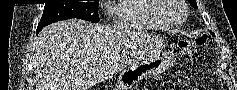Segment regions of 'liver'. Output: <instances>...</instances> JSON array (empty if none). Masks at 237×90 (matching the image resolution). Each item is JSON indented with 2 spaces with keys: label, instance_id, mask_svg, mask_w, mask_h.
Returning <instances> with one entry per match:
<instances>
[{
  "label": "liver",
  "instance_id": "1",
  "mask_svg": "<svg viewBox=\"0 0 237 90\" xmlns=\"http://www.w3.org/2000/svg\"><path fill=\"white\" fill-rule=\"evenodd\" d=\"M119 28L66 20L39 34L38 90H88L120 70Z\"/></svg>",
  "mask_w": 237,
  "mask_h": 90
}]
</instances>
